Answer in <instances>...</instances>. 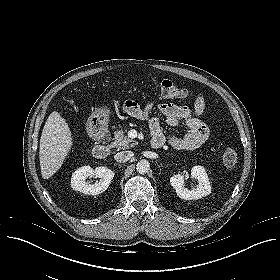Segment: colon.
Here are the masks:
<instances>
[{
  "mask_svg": "<svg viewBox=\"0 0 280 280\" xmlns=\"http://www.w3.org/2000/svg\"><path fill=\"white\" fill-rule=\"evenodd\" d=\"M157 92L163 98L190 99L194 96L192 90L175 85L170 80L161 79L156 82ZM238 153L233 147H225L222 150V162L231 167L237 162Z\"/></svg>",
  "mask_w": 280,
  "mask_h": 280,
  "instance_id": "1",
  "label": "colon"
}]
</instances>
